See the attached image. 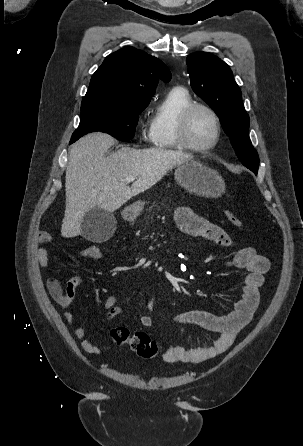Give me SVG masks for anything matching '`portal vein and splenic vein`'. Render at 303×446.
Here are the masks:
<instances>
[{"mask_svg":"<svg viewBox=\"0 0 303 446\" xmlns=\"http://www.w3.org/2000/svg\"><path fill=\"white\" fill-rule=\"evenodd\" d=\"M135 179H136V176H128L126 178V181L131 182V181H134Z\"/></svg>","mask_w":303,"mask_h":446,"instance_id":"18ae733b","label":"portal vein and splenic vein"}]
</instances>
